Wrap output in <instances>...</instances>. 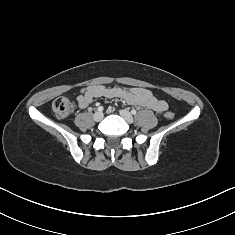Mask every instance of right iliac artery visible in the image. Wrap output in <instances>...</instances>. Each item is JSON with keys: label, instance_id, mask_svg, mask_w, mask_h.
I'll use <instances>...</instances> for the list:
<instances>
[{"label": "right iliac artery", "instance_id": "obj_1", "mask_svg": "<svg viewBox=\"0 0 235 235\" xmlns=\"http://www.w3.org/2000/svg\"><path fill=\"white\" fill-rule=\"evenodd\" d=\"M98 111H100V112L103 111V107H102V106H99V107H98Z\"/></svg>", "mask_w": 235, "mask_h": 235}]
</instances>
